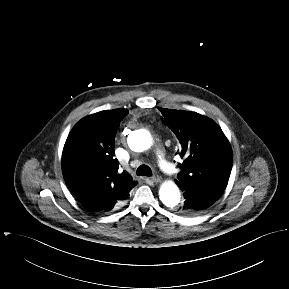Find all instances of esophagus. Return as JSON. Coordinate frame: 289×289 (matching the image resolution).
I'll return each mask as SVG.
<instances>
[{
    "label": "esophagus",
    "instance_id": "1",
    "mask_svg": "<svg viewBox=\"0 0 289 289\" xmlns=\"http://www.w3.org/2000/svg\"><path fill=\"white\" fill-rule=\"evenodd\" d=\"M150 179L154 183H160L161 182V177H159L158 175L152 176Z\"/></svg>",
    "mask_w": 289,
    "mask_h": 289
}]
</instances>
